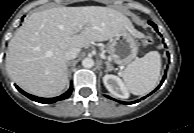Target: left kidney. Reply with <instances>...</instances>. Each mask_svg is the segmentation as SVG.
Returning <instances> with one entry per match:
<instances>
[{
  "mask_svg": "<svg viewBox=\"0 0 194 133\" xmlns=\"http://www.w3.org/2000/svg\"><path fill=\"white\" fill-rule=\"evenodd\" d=\"M103 82L108 91L118 98H128L129 93L122 80L115 75L106 74Z\"/></svg>",
  "mask_w": 194,
  "mask_h": 133,
  "instance_id": "5707ae66",
  "label": "left kidney"
}]
</instances>
